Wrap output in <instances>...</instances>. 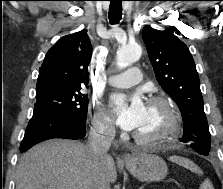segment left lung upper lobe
<instances>
[{
	"label": "left lung upper lobe",
	"mask_w": 223,
	"mask_h": 189,
	"mask_svg": "<svg viewBox=\"0 0 223 189\" xmlns=\"http://www.w3.org/2000/svg\"><path fill=\"white\" fill-rule=\"evenodd\" d=\"M142 37L157 81L181 111L184 122L181 141H192L190 146L196 152L209 154L211 137L199 76L188 47L174 34L150 26L143 29Z\"/></svg>",
	"instance_id": "obj_1"
}]
</instances>
